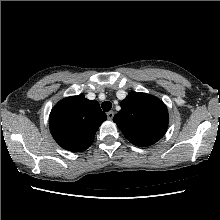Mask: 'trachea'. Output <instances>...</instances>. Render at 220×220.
Masks as SVG:
<instances>
[{
	"instance_id": "1",
	"label": "trachea",
	"mask_w": 220,
	"mask_h": 220,
	"mask_svg": "<svg viewBox=\"0 0 220 220\" xmlns=\"http://www.w3.org/2000/svg\"><path fill=\"white\" fill-rule=\"evenodd\" d=\"M101 107L105 112H108L112 108V103L110 101H104Z\"/></svg>"
}]
</instances>
